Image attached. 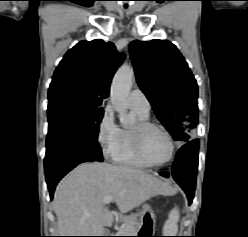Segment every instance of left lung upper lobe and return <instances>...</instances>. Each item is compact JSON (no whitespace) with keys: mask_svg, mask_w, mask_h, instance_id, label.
Masks as SVG:
<instances>
[{"mask_svg":"<svg viewBox=\"0 0 248 237\" xmlns=\"http://www.w3.org/2000/svg\"><path fill=\"white\" fill-rule=\"evenodd\" d=\"M136 79L156 116L177 141L187 142L198 124V85L170 41L130 43Z\"/></svg>","mask_w":248,"mask_h":237,"instance_id":"left-lung-upper-lobe-1","label":"left lung upper lobe"}]
</instances>
